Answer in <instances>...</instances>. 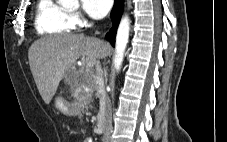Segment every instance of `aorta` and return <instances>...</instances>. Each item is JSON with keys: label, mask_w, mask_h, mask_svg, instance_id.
<instances>
[{"label": "aorta", "mask_w": 227, "mask_h": 142, "mask_svg": "<svg viewBox=\"0 0 227 142\" xmlns=\"http://www.w3.org/2000/svg\"><path fill=\"white\" fill-rule=\"evenodd\" d=\"M63 5H76L78 0H59ZM130 31V20L126 15L121 19L119 24L117 35H116V45H115V56H114V67L116 71H119L123 62L125 49L129 39Z\"/></svg>", "instance_id": "obj_1"}]
</instances>
